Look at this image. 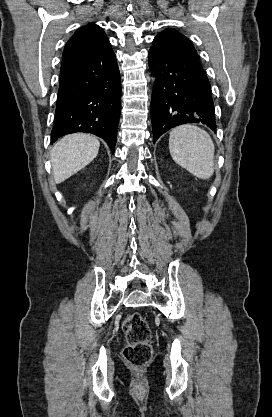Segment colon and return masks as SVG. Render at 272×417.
<instances>
[{
	"instance_id": "obj_1",
	"label": "colon",
	"mask_w": 272,
	"mask_h": 417,
	"mask_svg": "<svg viewBox=\"0 0 272 417\" xmlns=\"http://www.w3.org/2000/svg\"><path fill=\"white\" fill-rule=\"evenodd\" d=\"M126 336L123 357L126 363L140 369L146 366L152 356L151 333L145 318L139 313L126 317L122 325Z\"/></svg>"
}]
</instances>
